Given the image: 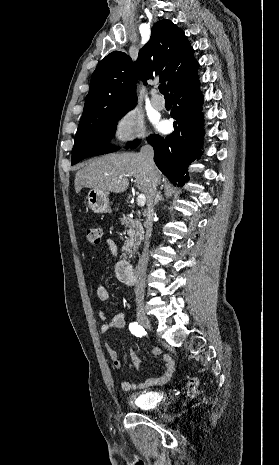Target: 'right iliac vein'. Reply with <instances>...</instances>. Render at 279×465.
Wrapping results in <instances>:
<instances>
[{"instance_id":"63e3f726","label":"right iliac vein","mask_w":279,"mask_h":465,"mask_svg":"<svg viewBox=\"0 0 279 465\" xmlns=\"http://www.w3.org/2000/svg\"><path fill=\"white\" fill-rule=\"evenodd\" d=\"M138 322L146 329L151 330V322L143 308H139L136 313Z\"/></svg>"}]
</instances>
